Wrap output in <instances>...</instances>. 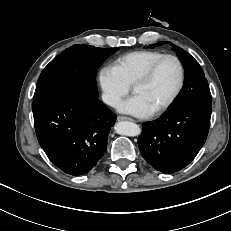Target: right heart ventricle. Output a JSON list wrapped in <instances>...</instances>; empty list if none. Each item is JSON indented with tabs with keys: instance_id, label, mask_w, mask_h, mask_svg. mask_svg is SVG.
I'll list each match as a JSON object with an SVG mask.
<instances>
[{
	"instance_id": "e07e8e85",
	"label": "right heart ventricle",
	"mask_w": 231,
	"mask_h": 231,
	"mask_svg": "<svg viewBox=\"0 0 231 231\" xmlns=\"http://www.w3.org/2000/svg\"><path fill=\"white\" fill-rule=\"evenodd\" d=\"M162 55L163 53L152 50L132 51L118 57L113 67L130 86L154 60Z\"/></svg>"
}]
</instances>
